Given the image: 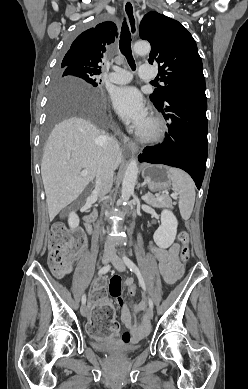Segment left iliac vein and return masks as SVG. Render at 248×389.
<instances>
[{"instance_id":"obj_1","label":"left iliac vein","mask_w":248,"mask_h":389,"mask_svg":"<svg viewBox=\"0 0 248 389\" xmlns=\"http://www.w3.org/2000/svg\"><path fill=\"white\" fill-rule=\"evenodd\" d=\"M113 266L120 272H123L125 271V264L124 262L122 261V259L117 256V255H114L112 257V260H111ZM147 317L149 319H152L153 317V308L149 307L148 310H147Z\"/></svg>"}]
</instances>
